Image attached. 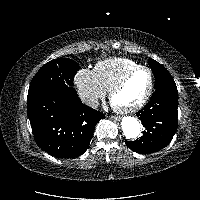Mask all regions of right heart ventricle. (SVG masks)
<instances>
[{
    "mask_svg": "<svg viewBox=\"0 0 200 200\" xmlns=\"http://www.w3.org/2000/svg\"><path fill=\"white\" fill-rule=\"evenodd\" d=\"M140 64L126 57H112L99 61L94 68L97 80L109 90L123 75Z\"/></svg>",
    "mask_w": 200,
    "mask_h": 200,
    "instance_id": "1",
    "label": "right heart ventricle"
}]
</instances>
